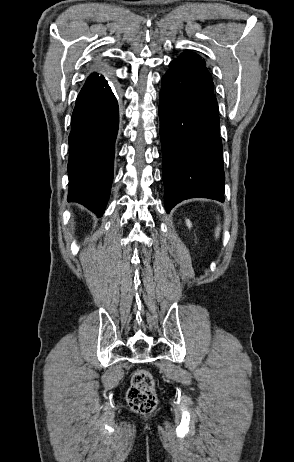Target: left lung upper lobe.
Wrapping results in <instances>:
<instances>
[{"mask_svg": "<svg viewBox=\"0 0 294 462\" xmlns=\"http://www.w3.org/2000/svg\"><path fill=\"white\" fill-rule=\"evenodd\" d=\"M178 58L205 65V61L200 56L192 52H184Z\"/></svg>", "mask_w": 294, "mask_h": 462, "instance_id": "1", "label": "left lung upper lobe"}]
</instances>
